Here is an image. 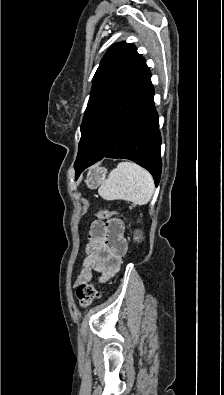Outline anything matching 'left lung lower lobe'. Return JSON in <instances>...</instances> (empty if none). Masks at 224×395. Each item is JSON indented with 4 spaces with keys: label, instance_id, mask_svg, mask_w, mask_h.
<instances>
[{
    "label": "left lung lower lobe",
    "instance_id": "1",
    "mask_svg": "<svg viewBox=\"0 0 224 395\" xmlns=\"http://www.w3.org/2000/svg\"><path fill=\"white\" fill-rule=\"evenodd\" d=\"M147 65L98 114L85 150L75 162L80 173L104 157L125 158L146 168L156 186L161 176L158 114Z\"/></svg>",
    "mask_w": 224,
    "mask_h": 395
}]
</instances>
